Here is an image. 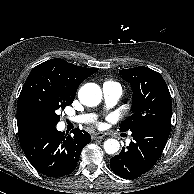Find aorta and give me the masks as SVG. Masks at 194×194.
<instances>
[{"instance_id":"762f6f07","label":"aorta","mask_w":194,"mask_h":194,"mask_svg":"<svg viewBox=\"0 0 194 194\" xmlns=\"http://www.w3.org/2000/svg\"><path fill=\"white\" fill-rule=\"evenodd\" d=\"M79 100L82 104L93 107L97 106L102 99V91L95 83H87L83 85L78 93ZM104 150L108 154L118 152L120 144L116 139H108L104 142Z\"/></svg>"}]
</instances>
